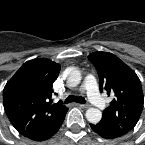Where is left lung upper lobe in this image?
I'll return each instance as SVG.
<instances>
[{
	"label": "left lung upper lobe",
	"mask_w": 145,
	"mask_h": 145,
	"mask_svg": "<svg viewBox=\"0 0 145 145\" xmlns=\"http://www.w3.org/2000/svg\"><path fill=\"white\" fill-rule=\"evenodd\" d=\"M88 58L97 69L100 91H105L113 99L98 124L125 135L135 127L143 109L141 82L136 73L114 54L94 52Z\"/></svg>",
	"instance_id": "left-lung-upper-lobe-1"
}]
</instances>
